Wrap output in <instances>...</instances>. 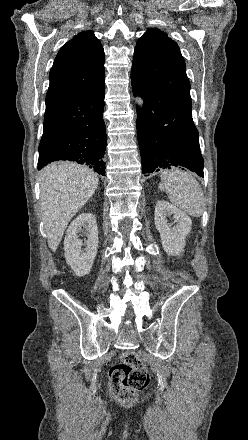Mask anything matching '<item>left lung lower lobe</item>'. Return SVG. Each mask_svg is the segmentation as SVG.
I'll return each instance as SVG.
<instances>
[{
    "label": "left lung lower lobe",
    "mask_w": 248,
    "mask_h": 440,
    "mask_svg": "<svg viewBox=\"0 0 248 440\" xmlns=\"http://www.w3.org/2000/svg\"><path fill=\"white\" fill-rule=\"evenodd\" d=\"M134 94L144 99L143 115L137 109V134L143 174L182 166L203 174L198 131L192 112L162 92L145 86L131 73Z\"/></svg>",
    "instance_id": "left-lung-lower-lobe-1"
}]
</instances>
